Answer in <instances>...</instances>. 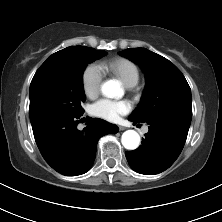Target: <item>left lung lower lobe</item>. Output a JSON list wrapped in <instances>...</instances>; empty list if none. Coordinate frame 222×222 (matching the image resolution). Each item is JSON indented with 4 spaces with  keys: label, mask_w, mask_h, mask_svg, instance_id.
<instances>
[{
    "label": "left lung lower lobe",
    "mask_w": 222,
    "mask_h": 222,
    "mask_svg": "<svg viewBox=\"0 0 222 222\" xmlns=\"http://www.w3.org/2000/svg\"><path fill=\"white\" fill-rule=\"evenodd\" d=\"M132 122L140 121L132 118ZM149 125L140 145L134 151H127L126 158L133 170L153 175L169 168L178 158L185 144L190 124L178 116L152 118L144 121Z\"/></svg>",
    "instance_id": "1"
}]
</instances>
